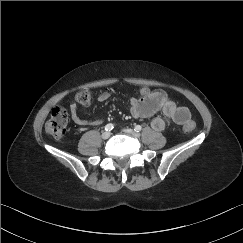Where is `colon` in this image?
<instances>
[{"label": "colon", "mask_w": 243, "mask_h": 243, "mask_svg": "<svg viewBox=\"0 0 243 243\" xmlns=\"http://www.w3.org/2000/svg\"><path fill=\"white\" fill-rule=\"evenodd\" d=\"M76 100L82 105H88L92 100L91 90L88 88L80 90L76 95ZM67 125L68 116L66 110L62 107H55L45 124V131L55 139H62L67 132ZM195 129L196 123L194 120H188L183 126L184 132L188 134Z\"/></svg>", "instance_id": "obj_1"}]
</instances>
